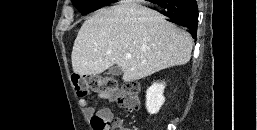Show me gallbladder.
Segmentation results:
<instances>
[{"mask_svg":"<svg viewBox=\"0 0 257 130\" xmlns=\"http://www.w3.org/2000/svg\"><path fill=\"white\" fill-rule=\"evenodd\" d=\"M108 74L112 76H120L122 74V69L117 65L112 66L111 68H109Z\"/></svg>","mask_w":257,"mask_h":130,"instance_id":"1","label":"gallbladder"}]
</instances>
